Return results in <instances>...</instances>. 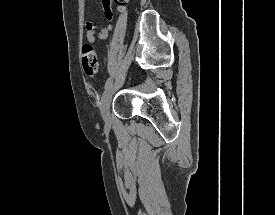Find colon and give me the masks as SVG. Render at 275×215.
Masks as SVG:
<instances>
[{
  "label": "colon",
  "instance_id": "colon-1",
  "mask_svg": "<svg viewBox=\"0 0 275 215\" xmlns=\"http://www.w3.org/2000/svg\"><path fill=\"white\" fill-rule=\"evenodd\" d=\"M116 2L121 8L125 4V0H116ZM81 62L85 75L88 77H95L98 71V53L93 45L89 43L84 44Z\"/></svg>",
  "mask_w": 275,
  "mask_h": 215
}]
</instances>
